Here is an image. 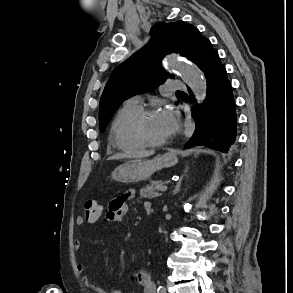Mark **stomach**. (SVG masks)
Returning a JSON list of instances; mask_svg holds the SVG:
<instances>
[{"mask_svg":"<svg viewBox=\"0 0 293 293\" xmlns=\"http://www.w3.org/2000/svg\"><path fill=\"white\" fill-rule=\"evenodd\" d=\"M178 163L175 153L168 152L152 160L135 159L118 166L112 178L123 183H137L149 179L156 171Z\"/></svg>","mask_w":293,"mask_h":293,"instance_id":"1","label":"stomach"}]
</instances>
